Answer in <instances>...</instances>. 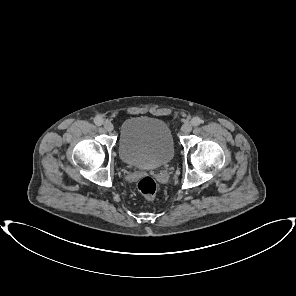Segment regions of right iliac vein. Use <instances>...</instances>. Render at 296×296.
Segmentation results:
<instances>
[{
  "label": "right iliac vein",
  "instance_id": "63e3f726",
  "mask_svg": "<svg viewBox=\"0 0 296 296\" xmlns=\"http://www.w3.org/2000/svg\"><path fill=\"white\" fill-rule=\"evenodd\" d=\"M103 126H104V129L109 132L113 130V124L110 121H105Z\"/></svg>",
  "mask_w": 296,
  "mask_h": 296
}]
</instances>
